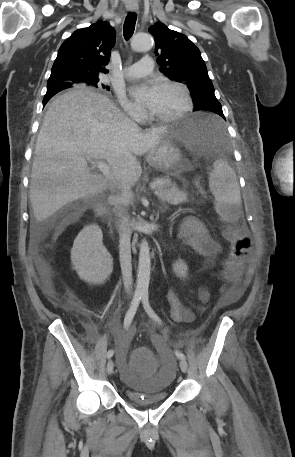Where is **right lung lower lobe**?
Masks as SVG:
<instances>
[{
    "label": "right lung lower lobe",
    "mask_w": 295,
    "mask_h": 457,
    "mask_svg": "<svg viewBox=\"0 0 295 457\" xmlns=\"http://www.w3.org/2000/svg\"><path fill=\"white\" fill-rule=\"evenodd\" d=\"M70 86H65L63 84H53V85H49L47 86V93L43 99V105H45L47 102H48V99H50L53 95V92L54 91H61L63 89H66V88H69Z\"/></svg>",
    "instance_id": "98d812e1"
}]
</instances>
